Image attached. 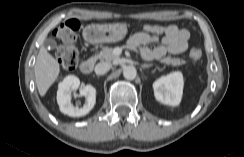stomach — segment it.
<instances>
[{
  "instance_id": "1",
  "label": "stomach",
  "mask_w": 244,
  "mask_h": 157,
  "mask_svg": "<svg viewBox=\"0 0 244 157\" xmlns=\"http://www.w3.org/2000/svg\"><path fill=\"white\" fill-rule=\"evenodd\" d=\"M84 38L89 43H111L124 39L127 34V26L123 23L115 24H90L85 27Z\"/></svg>"
}]
</instances>
